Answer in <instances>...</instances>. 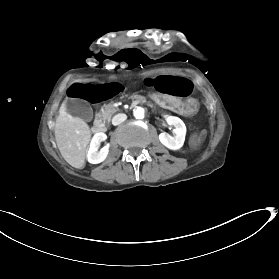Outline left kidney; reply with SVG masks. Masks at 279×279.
<instances>
[{
  "label": "left kidney",
  "mask_w": 279,
  "mask_h": 279,
  "mask_svg": "<svg viewBox=\"0 0 279 279\" xmlns=\"http://www.w3.org/2000/svg\"><path fill=\"white\" fill-rule=\"evenodd\" d=\"M166 121L169 125L174 126L173 132L175 133V136H171L169 133L163 132L159 134V141L170 150H180L184 144L186 126L178 117L170 116L166 118Z\"/></svg>",
  "instance_id": "5707ae66"
}]
</instances>
